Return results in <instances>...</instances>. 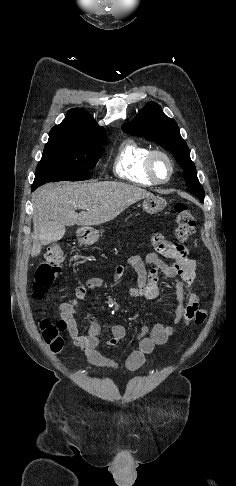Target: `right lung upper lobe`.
Segmentation results:
<instances>
[{
    "label": "right lung upper lobe",
    "instance_id": "1",
    "mask_svg": "<svg viewBox=\"0 0 236 486\" xmlns=\"http://www.w3.org/2000/svg\"><path fill=\"white\" fill-rule=\"evenodd\" d=\"M50 136H64L83 141L98 142L106 138L103 127L97 125L93 117L84 109H70L59 125L54 126Z\"/></svg>",
    "mask_w": 236,
    "mask_h": 486
}]
</instances>
